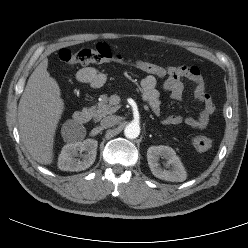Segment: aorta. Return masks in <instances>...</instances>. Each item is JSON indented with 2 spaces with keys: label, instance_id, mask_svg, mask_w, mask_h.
<instances>
[{
  "label": "aorta",
  "instance_id": "762f6f07",
  "mask_svg": "<svg viewBox=\"0 0 248 248\" xmlns=\"http://www.w3.org/2000/svg\"><path fill=\"white\" fill-rule=\"evenodd\" d=\"M140 134V126L137 123H130L124 129V135L128 139H135Z\"/></svg>",
  "mask_w": 248,
  "mask_h": 248
}]
</instances>
